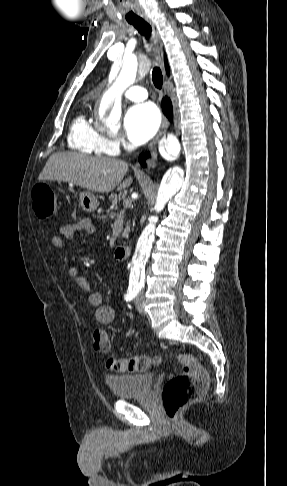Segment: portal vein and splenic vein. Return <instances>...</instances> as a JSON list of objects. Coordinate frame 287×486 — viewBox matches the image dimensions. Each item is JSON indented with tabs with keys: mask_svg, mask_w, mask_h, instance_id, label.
I'll return each mask as SVG.
<instances>
[{
	"mask_svg": "<svg viewBox=\"0 0 287 486\" xmlns=\"http://www.w3.org/2000/svg\"><path fill=\"white\" fill-rule=\"evenodd\" d=\"M129 204H130V202L129 201H126L125 205H129Z\"/></svg>",
	"mask_w": 287,
	"mask_h": 486,
	"instance_id": "portal-vein-and-splenic-vein-1",
	"label": "portal vein and splenic vein"
}]
</instances>
